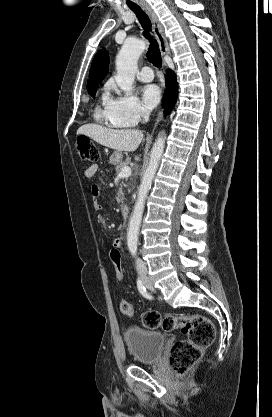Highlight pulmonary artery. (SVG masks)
<instances>
[{
    "mask_svg": "<svg viewBox=\"0 0 272 417\" xmlns=\"http://www.w3.org/2000/svg\"><path fill=\"white\" fill-rule=\"evenodd\" d=\"M138 79L142 82H150L154 78L153 71L150 67L144 66L141 68L137 75Z\"/></svg>",
    "mask_w": 272,
    "mask_h": 417,
    "instance_id": "1",
    "label": "pulmonary artery"
}]
</instances>
